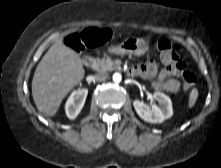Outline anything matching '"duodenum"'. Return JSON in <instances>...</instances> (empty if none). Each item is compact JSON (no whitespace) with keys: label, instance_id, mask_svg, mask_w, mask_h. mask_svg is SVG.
<instances>
[{"label":"duodenum","instance_id":"410a0bca","mask_svg":"<svg viewBox=\"0 0 221 168\" xmlns=\"http://www.w3.org/2000/svg\"><path fill=\"white\" fill-rule=\"evenodd\" d=\"M83 63L87 68H94L96 66V61L93 56L87 55L83 58ZM129 75H136L135 70L132 68L128 71Z\"/></svg>","mask_w":221,"mask_h":168}]
</instances>
